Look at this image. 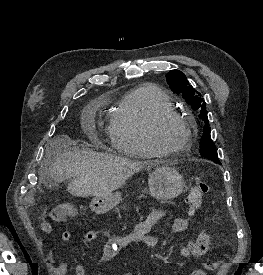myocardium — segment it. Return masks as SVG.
Segmentation results:
<instances>
[{
  "instance_id": "myocardium-1",
  "label": "myocardium",
  "mask_w": 263,
  "mask_h": 275,
  "mask_svg": "<svg viewBox=\"0 0 263 275\" xmlns=\"http://www.w3.org/2000/svg\"><path fill=\"white\" fill-rule=\"evenodd\" d=\"M173 119L178 120L184 124L187 130V136L185 141L180 146L176 148H165L159 143L157 139V131L164 122ZM194 129L195 124L191 117L184 115L176 110L166 109L158 112L150 119L146 128V138L156 155L172 156L180 154L190 148L194 138Z\"/></svg>"
}]
</instances>
